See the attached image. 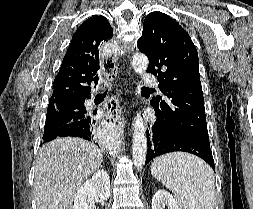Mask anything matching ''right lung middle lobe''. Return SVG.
Returning a JSON list of instances; mask_svg holds the SVG:
<instances>
[{"label":"right lung middle lobe","mask_w":253,"mask_h":209,"mask_svg":"<svg viewBox=\"0 0 253 209\" xmlns=\"http://www.w3.org/2000/svg\"><path fill=\"white\" fill-rule=\"evenodd\" d=\"M86 110L78 106H60L47 109L44 131L57 129L65 124L85 118Z\"/></svg>","instance_id":"dd1d6c3e"}]
</instances>
